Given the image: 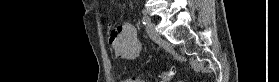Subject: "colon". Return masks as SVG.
Returning <instances> with one entry per match:
<instances>
[{"mask_svg":"<svg viewBox=\"0 0 279 82\" xmlns=\"http://www.w3.org/2000/svg\"><path fill=\"white\" fill-rule=\"evenodd\" d=\"M174 73H175L174 67L166 69L160 79V82H169L172 79Z\"/></svg>","mask_w":279,"mask_h":82,"instance_id":"obj_1","label":"colon"}]
</instances>
